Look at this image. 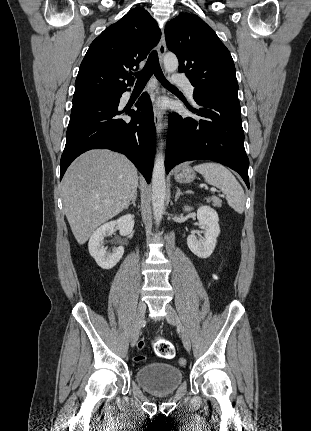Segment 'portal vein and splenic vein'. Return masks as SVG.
Returning a JSON list of instances; mask_svg holds the SVG:
<instances>
[{
  "label": "portal vein and splenic vein",
  "mask_w": 311,
  "mask_h": 431,
  "mask_svg": "<svg viewBox=\"0 0 311 431\" xmlns=\"http://www.w3.org/2000/svg\"><path fill=\"white\" fill-rule=\"evenodd\" d=\"M210 192H217L216 188H210Z\"/></svg>",
  "instance_id": "obj_1"
}]
</instances>
